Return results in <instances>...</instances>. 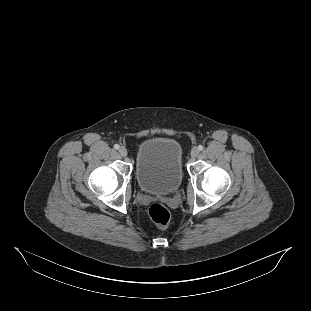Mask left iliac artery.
Segmentation results:
<instances>
[{
	"mask_svg": "<svg viewBox=\"0 0 311 311\" xmlns=\"http://www.w3.org/2000/svg\"><path fill=\"white\" fill-rule=\"evenodd\" d=\"M203 148H204V147H203L202 145H199V146H198V149H199L200 151H202Z\"/></svg>",
	"mask_w": 311,
	"mask_h": 311,
	"instance_id": "left-iliac-artery-1",
	"label": "left iliac artery"
}]
</instances>
